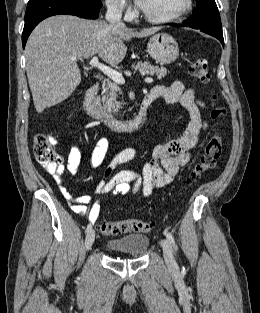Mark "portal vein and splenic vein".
Instances as JSON below:
<instances>
[{"mask_svg":"<svg viewBox=\"0 0 260 313\" xmlns=\"http://www.w3.org/2000/svg\"><path fill=\"white\" fill-rule=\"evenodd\" d=\"M73 61L76 60V58H72ZM89 64L93 67H96L97 69H99L101 72H103L105 75H107L109 78H111L115 83L118 84H124L125 83V79L123 78L122 74L117 72L116 70L102 64L99 62L98 57L94 56ZM144 81L146 83H152L153 79L152 78H145Z\"/></svg>","mask_w":260,"mask_h":313,"instance_id":"portal-vein-and-splenic-vein-1","label":"portal vein and splenic vein"}]
</instances>
